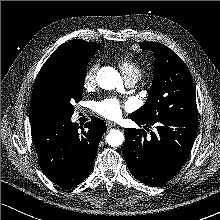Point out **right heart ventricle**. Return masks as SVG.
Returning a JSON list of instances; mask_svg holds the SVG:
<instances>
[{
    "instance_id": "1",
    "label": "right heart ventricle",
    "mask_w": 220,
    "mask_h": 220,
    "mask_svg": "<svg viewBox=\"0 0 220 220\" xmlns=\"http://www.w3.org/2000/svg\"><path fill=\"white\" fill-rule=\"evenodd\" d=\"M116 61L119 64L121 71L126 77H140L142 69L139 65L133 62L128 56L120 55L116 57Z\"/></svg>"
}]
</instances>
